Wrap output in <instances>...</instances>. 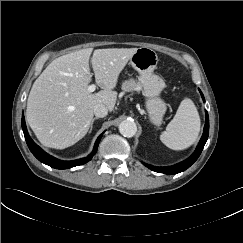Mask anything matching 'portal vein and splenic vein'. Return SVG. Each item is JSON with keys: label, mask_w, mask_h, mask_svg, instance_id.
<instances>
[{"label": "portal vein and splenic vein", "mask_w": 243, "mask_h": 243, "mask_svg": "<svg viewBox=\"0 0 243 243\" xmlns=\"http://www.w3.org/2000/svg\"><path fill=\"white\" fill-rule=\"evenodd\" d=\"M96 90V85L95 84H91L88 86V92L92 93Z\"/></svg>", "instance_id": "portal-vein-and-splenic-vein-1"}]
</instances>
